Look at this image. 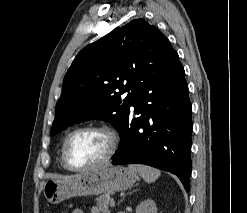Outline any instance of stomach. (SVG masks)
<instances>
[{
	"label": "stomach",
	"instance_id": "0dacf381",
	"mask_svg": "<svg viewBox=\"0 0 247 213\" xmlns=\"http://www.w3.org/2000/svg\"><path fill=\"white\" fill-rule=\"evenodd\" d=\"M138 180L136 172L123 166H110L72 176L65 180H47L44 197L51 204H58L76 196H91L131 187Z\"/></svg>",
	"mask_w": 247,
	"mask_h": 213
}]
</instances>
